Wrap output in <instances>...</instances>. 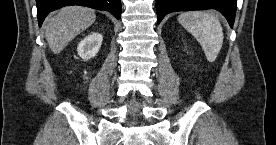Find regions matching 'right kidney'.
Segmentation results:
<instances>
[{
    "instance_id": "obj_1",
    "label": "right kidney",
    "mask_w": 276,
    "mask_h": 145,
    "mask_svg": "<svg viewBox=\"0 0 276 145\" xmlns=\"http://www.w3.org/2000/svg\"><path fill=\"white\" fill-rule=\"evenodd\" d=\"M103 37L99 33H91L86 36L77 47L78 55L83 60H89L96 56L98 53Z\"/></svg>"
}]
</instances>
